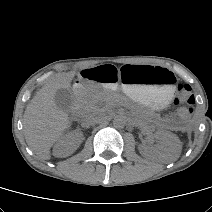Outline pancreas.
<instances>
[{
  "label": "pancreas",
  "mask_w": 212,
  "mask_h": 212,
  "mask_svg": "<svg viewBox=\"0 0 212 212\" xmlns=\"http://www.w3.org/2000/svg\"><path fill=\"white\" fill-rule=\"evenodd\" d=\"M99 101L105 102V109L119 105L121 103L120 100L117 99L116 95L105 96L97 92H91L80 99L81 106L84 110L92 108ZM135 114L139 117L140 120L145 117L141 111H137Z\"/></svg>",
  "instance_id": "pancreas-1"
}]
</instances>
